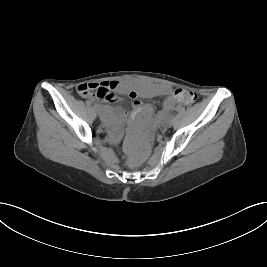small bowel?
<instances>
[{"instance_id":"small-bowel-1","label":"small bowel","mask_w":267,"mask_h":267,"mask_svg":"<svg viewBox=\"0 0 267 267\" xmlns=\"http://www.w3.org/2000/svg\"><path fill=\"white\" fill-rule=\"evenodd\" d=\"M106 87H112L114 90L118 89L121 92L129 93L130 97L133 99V107L137 111H144L146 114L150 115L153 112V107L150 104H143L140 101V97H157L165 96L163 101V111H170L174 108L176 103L175 92L170 86L153 84L141 81L118 83L115 81L102 82ZM89 84V83H84ZM78 86V93L80 94V89L84 85ZM95 84V83H91ZM97 84V83H96ZM83 97V96H82ZM91 99L92 101L98 102L99 107H104L103 104L109 100H103L98 97H84ZM161 115H159L160 117Z\"/></svg>"}]
</instances>
